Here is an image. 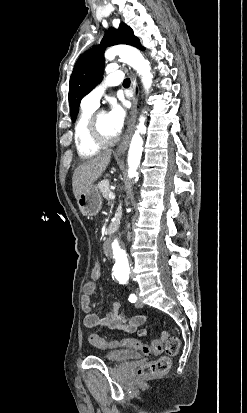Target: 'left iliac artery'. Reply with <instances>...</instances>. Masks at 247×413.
<instances>
[{"label":"left iliac artery","instance_id":"1","mask_svg":"<svg viewBox=\"0 0 247 413\" xmlns=\"http://www.w3.org/2000/svg\"><path fill=\"white\" fill-rule=\"evenodd\" d=\"M131 303H135L137 300V296L135 294H131L128 299Z\"/></svg>","mask_w":247,"mask_h":413}]
</instances>
